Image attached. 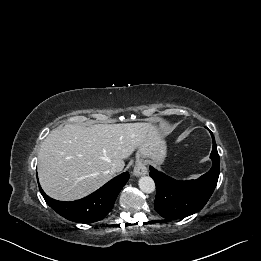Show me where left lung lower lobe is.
<instances>
[{
	"mask_svg": "<svg viewBox=\"0 0 261 261\" xmlns=\"http://www.w3.org/2000/svg\"><path fill=\"white\" fill-rule=\"evenodd\" d=\"M211 169L197 180L178 181L150 167L156 184L155 210L166 219H180L200 211L212 195L219 177L220 159L213 134Z\"/></svg>",
	"mask_w": 261,
	"mask_h": 261,
	"instance_id": "obj_1",
	"label": "left lung lower lobe"
}]
</instances>
